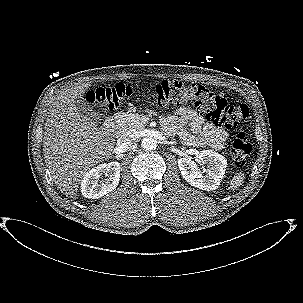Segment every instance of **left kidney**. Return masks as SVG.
<instances>
[{
  "mask_svg": "<svg viewBox=\"0 0 303 303\" xmlns=\"http://www.w3.org/2000/svg\"><path fill=\"white\" fill-rule=\"evenodd\" d=\"M197 162L207 164V175L203 176L196 162L191 158L178 159V167L182 177L192 186L202 190H215L219 187L227 167L224 156L211 150H202L197 155Z\"/></svg>",
  "mask_w": 303,
  "mask_h": 303,
  "instance_id": "5707ae66",
  "label": "left kidney"
}]
</instances>
